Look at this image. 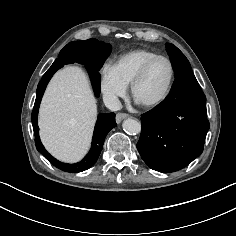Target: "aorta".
Here are the masks:
<instances>
[{"label":"aorta","instance_id":"762f6f07","mask_svg":"<svg viewBox=\"0 0 236 236\" xmlns=\"http://www.w3.org/2000/svg\"><path fill=\"white\" fill-rule=\"evenodd\" d=\"M122 127L126 133L138 134L141 131V124L135 119L128 118L123 121Z\"/></svg>","mask_w":236,"mask_h":236}]
</instances>
